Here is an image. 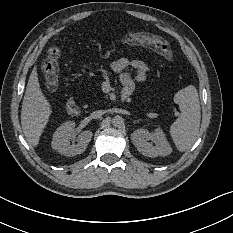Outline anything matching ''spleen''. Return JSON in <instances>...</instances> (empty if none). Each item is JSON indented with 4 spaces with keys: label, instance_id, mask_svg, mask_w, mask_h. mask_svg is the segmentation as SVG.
Instances as JSON below:
<instances>
[{
    "label": "spleen",
    "instance_id": "3e777b00",
    "mask_svg": "<svg viewBox=\"0 0 233 233\" xmlns=\"http://www.w3.org/2000/svg\"><path fill=\"white\" fill-rule=\"evenodd\" d=\"M175 102L181 115L171 125V136L180 151L193 146L200 126V103L198 92L193 85H189L176 93Z\"/></svg>",
    "mask_w": 233,
    "mask_h": 233
}]
</instances>
